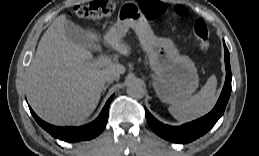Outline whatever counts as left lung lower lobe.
Wrapping results in <instances>:
<instances>
[{"label":"left lung lower lobe","mask_w":259,"mask_h":156,"mask_svg":"<svg viewBox=\"0 0 259 156\" xmlns=\"http://www.w3.org/2000/svg\"><path fill=\"white\" fill-rule=\"evenodd\" d=\"M226 80L221 95L213 108L207 115L193 122L181 126H169L156 120L148 110L146 119L150 128L160 137L175 143H189L208 132L219 118L223 115L231 93V69L229 62V51L224 43Z\"/></svg>","instance_id":"left-lung-lower-lobe-1"}]
</instances>
